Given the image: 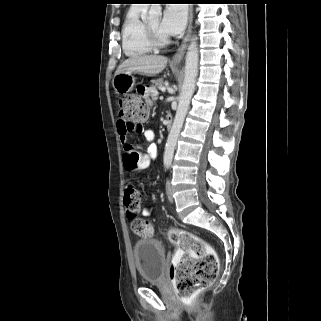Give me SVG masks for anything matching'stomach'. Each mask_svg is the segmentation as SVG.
I'll use <instances>...</instances> for the list:
<instances>
[{
	"instance_id": "stomach-1",
	"label": "stomach",
	"mask_w": 321,
	"mask_h": 321,
	"mask_svg": "<svg viewBox=\"0 0 321 321\" xmlns=\"http://www.w3.org/2000/svg\"><path fill=\"white\" fill-rule=\"evenodd\" d=\"M135 85V77L133 72H123L115 75L113 79V87L118 94H126L130 92Z\"/></svg>"
}]
</instances>
